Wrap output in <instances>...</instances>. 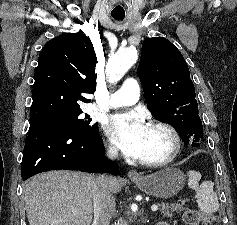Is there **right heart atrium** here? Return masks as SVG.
<instances>
[{"label":"right heart atrium","mask_w":237,"mask_h":225,"mask_svg":"<svg viewBox=\"0 0 237 225\" xmlns=\"http://www.w3.org/2000/svg\"><path fill=\"white\" fill-rule=\"evenodd\" d=\"M107 153L110 155V156H116L117 155V149L116 147L112 144V143H108L107 145Z\"/></svg>","instance_id":"obj_1"}]
</instances>
